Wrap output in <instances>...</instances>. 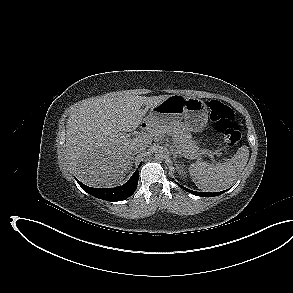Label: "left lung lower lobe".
<instances>
[{"label":"left lung lower lobe","mask_w":293,"mask_h":293,"mask_svg":"<svg viewBox=\"0 0 293 293\" xmlns=\"http://www.w3.org/2000/svg\"><path fill=\"white\" fill-rule=\"evenodd\" d=\"M180 187H182L183 189H185L186 191L194 194V195H197V196H201V197H213V196H218L222 193H224L225 191H221V192H215V193H209V192H196V191H192V190H189L181 185H179Z\"/></svg>","instance_id":"left-lung-lower-lobe-1"}]
</instances>
